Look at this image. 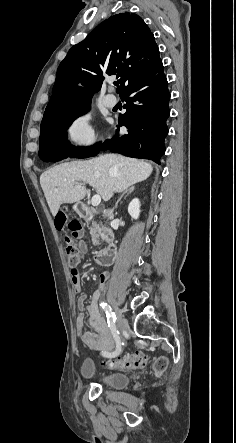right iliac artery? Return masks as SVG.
Returning a JSON list of instances; mask_svg holds the SVG:
<instances>
[{"label":"right iliac artery","instance_id":"82829eb1","mask_svg":"<svg viewBox=\"0 0 236 443\" xmlns=\"http://www.w3.org/2000/svg\"><path fill=\"white\" fill-rule=\"evenodd\" d=\"M100 306L102 307V309L106 313L108 326L110 327L112 335H113V337L116 340V349L114 351H111V352H104L103 356L108 357V358L109 357H116L123 350V342L120 339L119 331L117 330L116 324H115V322H116V315H115V313L112 311L111 307L107 303L101 302Z\"/></svg>","mask_w":236,"mask_h":443}]
</instances>
